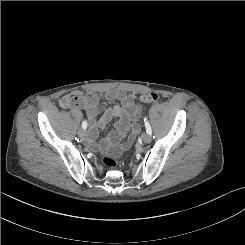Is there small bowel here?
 <instances>
[{
    "instance_id": "obj_1",
    "label": "small bowel",
    "mask_w": 245,
    "mask_h": 245,
    "mask_svg": "<svg viewBox=\"0 0 245 245\" xmlns=\"http://www.w3.org/2000/svg\"><path fill=\"white\" fill-rule=\"evenodd\" d=\"M80 94V93H77ZM81 95V94H80ZM62 98V104L67 107H82L86 110V114L92 124L89 134L93 140L98 134V128H106L112 121L116 120L114 129L106 140V146L118 152L124 150L139 134V120L142 115V107L134 102V97L122 90H107L103 93V97L107 100H118L119 104L107 107L100 119H96L98 115V97L95 92L89 91L82 95L83 101L79 105H67L65 99ZM129 132V136L124 143L120 144L121 139Z\"/></svg>"
}]
</instances>
